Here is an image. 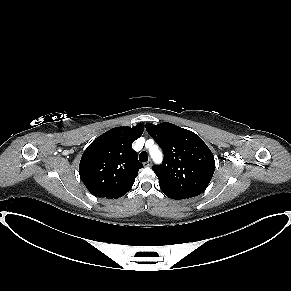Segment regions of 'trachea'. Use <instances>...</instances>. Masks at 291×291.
<instances>
[{"mask_svg": "<svg viewBox=\"0 0 291 291\" xmlns=\"http://www.w3.org/2000/svg\"><path fill=\"white\" fill-rule=\"evenodd\" d=\"M139 160L141 162H147L148 161V154L145 151L141 152L139 154Z\"/></svg>", "mask_w": 291, "mask_h": 291, "instance_id": "trachea-1", "label": "trachea"}]
</instances>
